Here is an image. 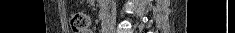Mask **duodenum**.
<instances>
[{"instance_id": "410a0bca", "label": "duodenum", "mask_w": 235, "mask_h": 33, "mask_svg": "<svg viewBox=\"0 0 235 33\" xmlns=\"http://www.w3.org/2000/svg\"><path fill=\"white\" fill-rule=\"evenodd\" d=\"M107 28H108V24H107V23H104V24H103V30H104L105 33L107 32Z\"/></svg>"}]
</instances>
